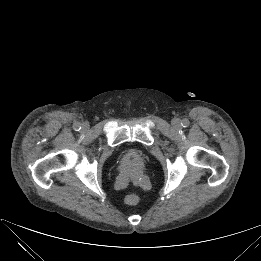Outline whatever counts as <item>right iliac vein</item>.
<instances>
[{
    "label": "right iliac vein",
    "instance_id": "63e3f726",
    "mask_svg": "<svg viewBox=\"0 0 261 261\" xmlns=\"http://www.w3.org/2000/svg\"><path fill=\"white\" fill-rule=\"evenodd\" d=\"M82 127H83L84 130H87V129H88V125H87V124H83Z\"/></svg>",
    "mask_w": 261,
    "mask_h": 261
}]
</instances>
